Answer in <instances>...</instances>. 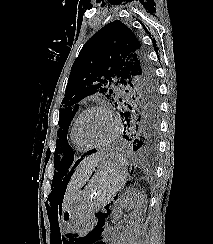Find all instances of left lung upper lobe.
<instances>
[{"instance_id":"obj_1","label":"left lung upper lobe","mask_w":213,"mask_h":244,"mask_svg":"<svg viewBox=\"0 0 213 244\" xmlns=\"http://www.w3.org/2000/svg\"><path fill=\"white\" fill-rule=\"evenodd\" d=\"M100 94L137 121L158 123L159 98L154 71L133 31L115 20L95 33L74 61L60 109L54 166L68 169L74 154L67 142L79 102Z\"/></svg>"}]
</instances>
